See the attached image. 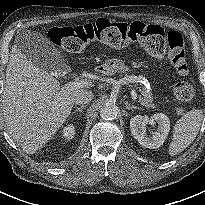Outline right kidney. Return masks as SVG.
Wrapping results in <instances>:
<instances>
[{
	"mask_svg": "<svg viewBox=\"0 0 205 205\" xmlns=\"http://www.w3.org/2000/svg\"><path fill=\"white\" fill-rule=\"evenodd\" d=\"M62 136L66 139V140H70L74 137L75 135V128L72 124L67 125L66 127L63 128L62 130Z\"/></svg>",
	"mask_w": 205,
	"mask_h": 205,
	"instance_id": "1",
	"label": "right kidney"
}]
</instances>
